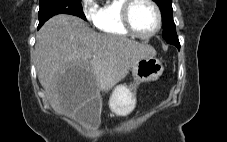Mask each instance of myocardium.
Returning a JSON list of instances; mask_svg holds the SVG:
<instances>
[{"label":"myocardium","mask_w":227,"mask_h":142,"mask_svg":"<svg viewBox=\"0 0 227 142\" xmlns=\"http://www.w3.org/2000/svg\"><path fill=\"white\" fill-rule=\"evenodd\" d=\"M139 1L140 0H125L124 4L122 5V8H121L122 24H123L124 28L130 34H132L138 38H141V39H149V38H152L153 36H155L156 34H158L162 28V23H163L162 12H161L160 7L154 0H143L147 3H149L155 10L156 15H157V26L152 32H150L148 34H142L134 28V26L132 24V20H131L132 9H133L134 5Z\"/></svg>","instance_id":"f54148a6"}]
</instances>
